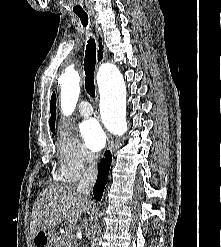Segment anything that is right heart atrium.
<instances>
[{
  "label": "right heart atrium",
  "mask_w": 221,
  "mask_h": 247,
  "mask_svg": "<svg viewBox=\"0 0 221 247\" xmlns=\"http://www.w3.org/2000/svg\"><path fill=\"white\" fill-rule=\"evenodd\" d=\"M57 159L58 178L74 182L90 169L94 157L74 135L62 130L58 140Z\"/></svg>",
  "instance_id": "obj_1"
}]
</instances>
